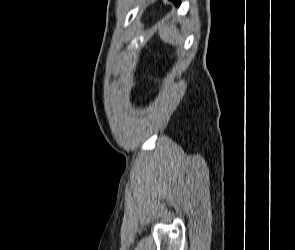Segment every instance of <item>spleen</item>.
<instances>
[{
	"mask_svg": "<svg viewBox=\"0 0 295 250\" xmlns=\"http://www.w3.org/2000/svg\"><path fill=\"white\" fill-rule=\"evenodd\" d=\"M158 34L162 41L171 45H178L181 43V36L179 30L173 24H162L158 27Z\"/></svg>",
	"mask_w": 295,
	"mask_h": 250,
	"instance_id": "1",
	"label": "spleen"
}]
</instances>
